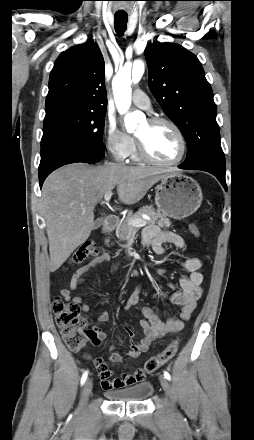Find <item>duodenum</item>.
Wrapping results in <instances>:
<instances>
[{
    "label": "duodenum",
    "mask_w": 254,
    "mask_h": 440,
    "mask_svg": "<svg viewBox=\"0 0 254 440\" xmlns=\"http://www.w3.org/2000/svg\"><path fill=\"white\" fill-rule=\"evenodd\" d=\"M118 225V218L114 215H109L105 218L102 231L104 233H109L114 230Z\"/></svg>",
    "instance_id": "obj_1"
}]
</instances>
